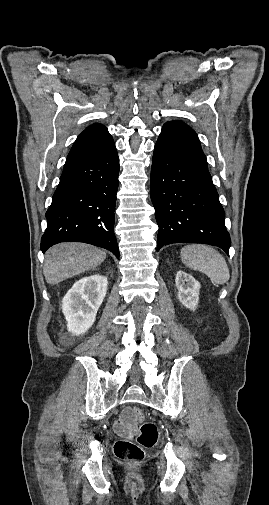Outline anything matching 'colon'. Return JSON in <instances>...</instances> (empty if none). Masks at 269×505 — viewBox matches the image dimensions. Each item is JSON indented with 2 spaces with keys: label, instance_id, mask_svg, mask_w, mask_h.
Returning <instances> with one entry per match:
<instances>
[{
  "label": "colon",
  "instance_id": "1",
  "mask_svg": "<svg viewBox=\"0 0 269 505\" xmlns=\"http://www.w3.org/2000/svg\"><path fill=\"white\" fill-rule=\"evenodd\" d=\"M131 419L140 423L136 440H118L114 445L115 456L124 462L141 461L145 455L144 450L153 447L158 438L156 424L144 421V416L138 408H133Z\"/></svg>",
  "mask_w": 269,
  "mask_h": 505
}]
</instances>
